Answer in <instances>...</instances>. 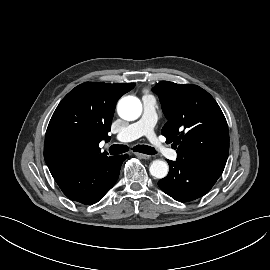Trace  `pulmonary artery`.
Wrapping results in <instances>:
<instances>
[{
	"label": "pulmonary artery",
	"mask_w": 270,
	"mask_h": 270,
	"mask_svg": "<svg viewBox=\"0 0 270 270\" xmlns=\"http://www.w3.org/2000/svg\"><path fill=\"white\" fill-rule=\"evenodd\" d=\"M143 114L141 118L125 127L117 136L119 142L133 141L141 136H145L153 145L157 152H160L171 160L177 159V152L166 147L155 135L154 126L156 123V99L152 95L142 97Z\"/></svg>",
	"instance_id": "obj_1"
}]
</instances>
